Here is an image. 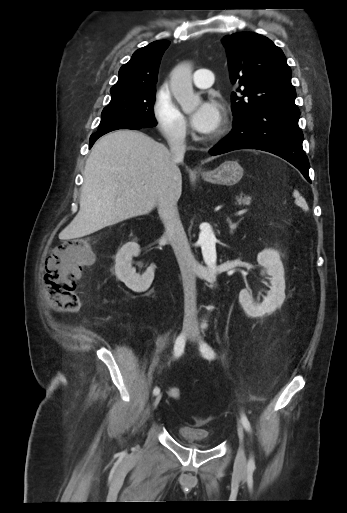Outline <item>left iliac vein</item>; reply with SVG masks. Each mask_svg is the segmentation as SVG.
<instances>
[{
  "mask_svg": "<svg viewBox=\"0 0 347 513\" xmlns=\"http://www.w3.org/2000/svg\"><path fill=\"white\" fill-rule=\"evenodd\" d=\"M190 338L197 344H199L201 341V337L199 335L198 327L196 324H193V326H192V329L190 332ZM237 432H238V437H239V441H240V447L238 449V452H237V455L235 458L234 468L237 473H243L246 470L247 461H246V455H245V450H244V446H243L244 431H243V427L240 422H238V424H237Z\"/></svg>",
  "mask_w": 347,
  "mask_h": 513,
  "instance_id": "4c4485c4",
  "label": "left iliac vein"
}]
</instances>
